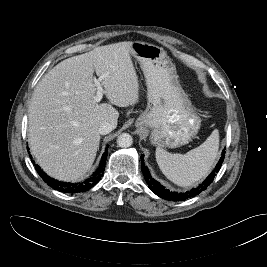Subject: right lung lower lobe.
<instances>
[{"label": "right lung lower lobe", "mask_w": 267, "mask_h": 267, "mask_svg": "<svg viewBox=\"0 0 267 267\" xmlns=\"http://www.w3.org/2000/svg\"><path fill=\"white\" fill-rule=\"evenodd\" d=\"M107 147H108V145H107ZM107 147H106V151L102 155V159H101L99 168L96 170V172L93 174L92 177H90L89 179H87L81 183H65V182L57 181L53 178H50L45 172H43L38 165H35L33 160H32V162L34 163L36 171L42 177L44 182H46L47 185L52 187L53 189L58 190L60 192H65V193L85 192V191L89 190L92 186L97 184V182L103 176V172L105 169L106 157H107ZM28 150H29V148H28ZM29 156L31 157V155H29Z\"/></svg>", "instance_id": "obj_1"}]
</instances>
